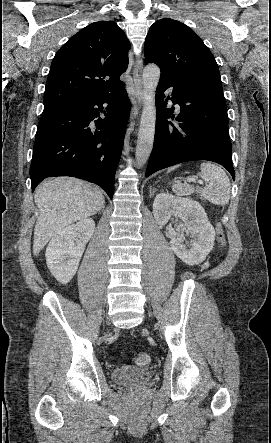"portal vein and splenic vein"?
Returning a JSON list of instances; mask_svg holds the SVG:
<instances>
[{
  "mask_svg": "<svg viewBox=\"0 0 271 443\" xmlns=\"http://www.w3.org/2000/svg\"><path fill=\"white\" fill-rule=\"evenodd\" d=\"M188 182H198V184H203L201 180H196V178H189Z\"/></svg>",
  "mask_w": 271,
  "mask_h": 443,
  "instance_id": "obj_1",
  "label": "portal vein and splenic vein"
}]
</instances>
